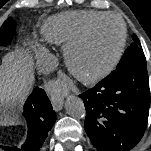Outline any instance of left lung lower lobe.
<instances>
[{
  "mask_svg": "<svg viewBox=\"0 0 151 151\" xmlns=\"http://www.w3.org/2000/svg\"><path fill=\"white\" fill-rule=\"evenodd\" d=\"M86 108L85 130L98 151H126L141 140L150 105L146 64L111 72L79 95Z\"/></svg>",
  "mask_w": 151,
  "mask_h": 151,
  "instance_id": "left-lung-lower-lobe-1",
  "label": "left lung lower lobe"
}]
</instances>
